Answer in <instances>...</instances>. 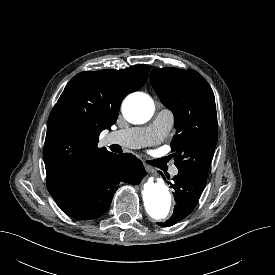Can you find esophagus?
<instances>
[{
	"mask_svg": "<svg viewBox=\"0 0 275 275\" xmlns=\"http://www.w3.org/2000/svg\"><path fill=\"white\" fill-rule=\"evenodd\" d=\"M145 169L148 173H154L155 169L149 165H145Z\"/></svg>",
	"mask_w": 275,
	"mask_h": 275,
	"instance_id": "1",
	"label": "esophagus"
}]
</instances>
